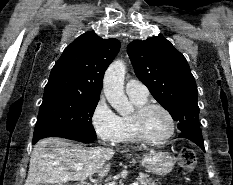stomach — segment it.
<instances>
[{
    "label": "stomach",
    "instance_id": "1",
    "mask_svg": "<svg viewBox=\"0 0 233 185\" xmlns=\"http://www.w3.org/2000/svg\"><path fill=\"white\" fill-rule=\"evenodd\" d=\"M140 163L146 168L147 172H152L157 175H165L171 172L175 160L168 152L150 150L143 155Z\"/></svg>",
    "mask_w": 233,
    "mask_h": 185
}]
</instances>
